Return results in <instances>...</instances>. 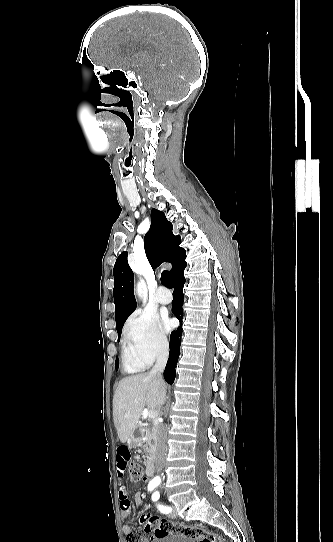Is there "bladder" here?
<instances>
[{"instance_id":"1","label":"bladder","mask_w":333,"mask_h":542,"mask_svg":"<svg viewBox=\"0 0 333 542\" xmlns=\"http://www.w3.org/2000/svg\"><path fill=\"white\" fill-rule=\"evenodd\" d=\"M151 542H197L196 539L189 538L186 535L182 534H166L164 536L158 537L156 540Z\"/></svg>"}]
</instances>
